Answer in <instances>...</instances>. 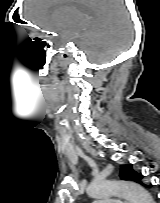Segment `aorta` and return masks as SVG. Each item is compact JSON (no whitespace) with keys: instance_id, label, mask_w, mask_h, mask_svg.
Returning <instances> with one entry per match:
<instances>
[{"instance_id":"1","label":"aorta","mask_w":160,"mask_h":203,"mask_svg":"<svg viewBox=\"0 0 160 203\" xmlns=\"http://www.w3.org/2000/svg\"><path fill=\"white\" fill-rule=\"evenodd\" d=\"M87 193L95 198L121 196L129 203H155L152 196L139 184L119 180H105L92 182Z\"/></svg>"}]
</instances>
